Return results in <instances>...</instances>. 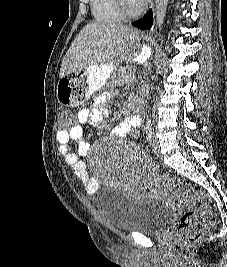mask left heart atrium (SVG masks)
Segmentation results:
<instances>
[{
    "mask_svg": "<svg viewBox=\"0 0 227 267\" xmlns=\"http://www.w3.org/2000/svg\"><path fill=\"white\" fill-rule=\"evenodd\" d=\"M138 7L144 6L148 0H133Z\"/></svg>",
    "mask_w": 227,
    "mask_h": 267,
    "instance_id": "1",
    "label": "left heart atrium"
}]
</instances>
